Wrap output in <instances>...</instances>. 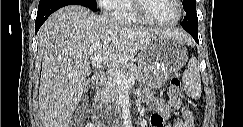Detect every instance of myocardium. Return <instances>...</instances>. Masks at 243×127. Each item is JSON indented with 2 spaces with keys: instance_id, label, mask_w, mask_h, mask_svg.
<instances>
[{
  "instance_id": "obj_1",
  "label": "myocardium",
  "mask_w": 243,
  "mask_h": 127,
  "mask_svg": "<svg viewBox=\"0 0 243 127\" xmlns=\"http://www.w3.org/2000/svg\"><path fill=\"white\" fill-rule=\"evenodd\" d=\"M144 1L145 0H134V10L136 14L145 22L153 26L158 27H173L180 23L182 16H183V5L182 1L180 0H174L175 4L178 8V16L177 18L172 22H161L158 20L153 19L145 10L144 7Z\"/></svg>"
}]
</instances>
